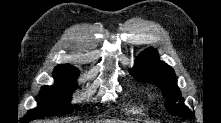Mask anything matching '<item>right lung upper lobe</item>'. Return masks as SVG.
I'll use <instances>...</instances> for the list:
<instances>
[{"mask_svg": "<svg viewBox=\"0 0 221 123\" xmlns=\"http://www.w3.org/2000/svg\"><path fill=\"white\" fill-rule=\"evenodd\" d=\"M60 66H62V67H71V68L77 69V68H75V67H73V66H71V65H68V64H66V65H60ZM77 70H78V69H77Z\"/></svg>", "mask_w": 221, "mask_h": 123, "instance_id": "1", "label": "right lung upper lobe"}]
</instances>
